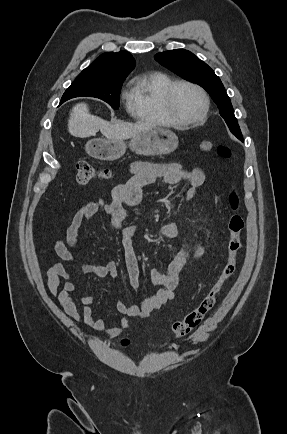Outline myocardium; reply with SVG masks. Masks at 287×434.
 Listing matches in <instances>:
<instances>
[{"label":"myocardium","mask_w":287,"mask_h":434,"mask_svg":"<svg viewBox=\"0 0 287 434\" xmlns=\"http://www.w3.org/2000/svg\"><path fill=\"white\" fill-rule=\"evenodd\" d=\"M179 86L191 87V88L195 89L200 94L202 101H203V110L198 117H196L194 119L186 120V119L180 118L175 113L174 105H173V96H174L176 89ZM163 104H164V108H165L167 115L175 123V125H182V126L194 125V124H199V123L203 122L206 119L208 112H209V108H210L209 97H208L206 91L204 90V88L201 87L200 85H198L197 83H194V82L188 81V80L173 81L166 88V90L164 92Z\"/></svg>","instance_id":"f54148a6"}]
</instances>
